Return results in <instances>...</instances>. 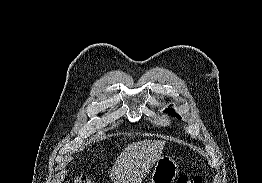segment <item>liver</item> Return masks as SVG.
Instances as JSON below:
<instances>
[{
    "label": "liver",
    "mask_w": 262,
    "mask_h": 183,
    "mask_svg": "<svg viewBox=\"0 0 262 183\" xmlns=\"http://www.w3.org/2000/svg\"><path fill=\"white\" fill-rule=\"evenodd\" d=\"M165 141L143 140L128 144L115 161L113 183H141L161 157Z\"/></svg>",
    "instance_id": "obj_1"
}]
</instances>
